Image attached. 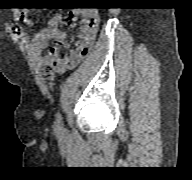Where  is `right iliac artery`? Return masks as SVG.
Here are the masks:
<instances>
[{
	"mask_svg": "<svg viewBox=\"0 0 192 180\" xmlns=\"http://www.w3.org/2000/svg\"><path fill=\"white\" fill-rule=\"evenodd\" d=\"M62 122V117L60 115V113H57V118H56V128H60V124Z\"/></svg>",
	"mask_w": 192,
	"mask_h": 180,
	"instance_id": "obj_1",
	"label": "right iliac artery"
}]
</instances>
